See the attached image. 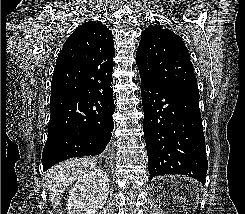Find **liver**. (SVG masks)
Returning a JSON list of instances; mask_svg holds the SVG:
<instances>
[{
  "label": "liver",
  "instance_id": "obj_1",
  "mask_svg": "<svg viewBox=\"0 0 245 214\" xmlns=\"http://www.w3.org/2000/svg\"><path fill=\"white\" fill-rule=\"evenodd\" d=\"M96 164V158L84 157L64 161L49 169L43 180L46 189L49 191L52 206L56 208L66 188L90 169L95 168Z\"/></svg>",
  "mask_w": 245,
  "mask_h": 214
}]
</instances>
